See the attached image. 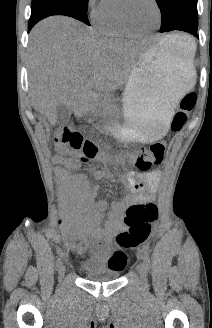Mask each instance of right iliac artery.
Segmentation results:
<instances>
[{
	"label": "right iliac artery",
	"mask_w": 212,
	"mask_h": 328,
	"mask_svg": "<svg viewBox=\"0 0 212 328\" xmlns=\"http://www.w3.org/2000/svg\"><path fill=\"white\" fill-rule=\"evenodd\" d=\"M61 266H62V259L61 258H58L57 261H56V268H57V270H59Z\"/></svg>",
	"instance_id": "1"
}]
</instances>
